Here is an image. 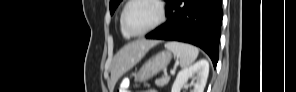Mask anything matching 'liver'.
<instances>
[{
	"label": "liver",
	"instance_id": "1",
	"mask_svg": "<svg viewBox=\"0 0 296 92\" xmlns=\"http://www.w3.org/2000/svg\"><path fill=\"white\" fill-rule=\"evenodd\" d=\"M158 43V41L138 40L129 43L120 49L113 59L110 89L113 90L118 79L137 64L149 49Z\"/></svg>",
	"mask_w": 296,
	"mask_h": 92
}]
</instances>
